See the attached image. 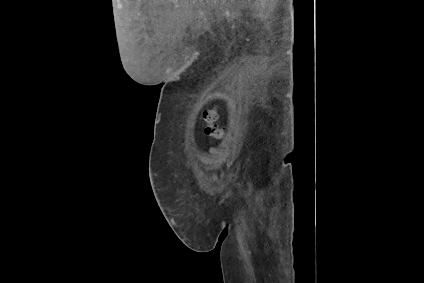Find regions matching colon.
Here are the masks:
<instances>
[{"mask_svg":"<svg viewBox=\"0 0 424 283\" xmlns=\"http://www.w3.org/2000/svg\"><path fill=\"white\" fill-rule=\"evenodd\" d=\"M217 110L210 108L204 111L202 119L205 122V133L214 140H221L224 137V129L217 124Z\"/></svg>","mask_w":424,"mask_h":283,"instance_id":"obj_1","label":"colon"}]
</instances>
